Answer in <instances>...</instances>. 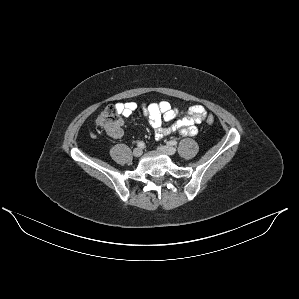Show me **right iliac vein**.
Returning <instances> with one entry per match:
<instances>
[{"label": "right iliac vein", "instance_id": "obj_1", "mask_svg": "<svg viewBox=\"0 0 299 299\" xmlns=\"http://www.w3.org/2000/svg\"><path fill=\"white\" fill-rule=\"evenodd\" d=\"M133 155H134L135 157H140V156L142 155V149H141V148H135V149L133 150Z\"/></svg>", "mask_w": 299, "mask_h": 299}]
</instances>
